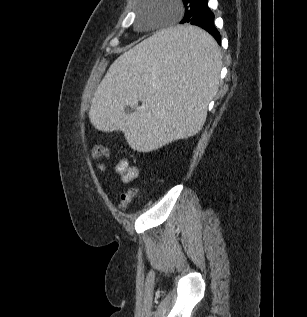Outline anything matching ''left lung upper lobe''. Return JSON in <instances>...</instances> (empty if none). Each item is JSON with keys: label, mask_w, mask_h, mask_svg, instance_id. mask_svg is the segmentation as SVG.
<instances>
[{"label": "left lung upper lobe", "mask_w": 307, "mask_h": 317, "mask_svg": "<svg viewBox=\"0 0 307 317\" xmlns=\"http://www.w3.org/2000/svg\"><path fill=\"white\" fill-rule=\"evenodd\" d=\"M184 4L185 15L182 19L181 23L184 19L188 20L195 12V8L198 6L201 0H182Z\"/></svg>", "instance_id": "left-lung-upper-lobe-1"}]
</instances>
